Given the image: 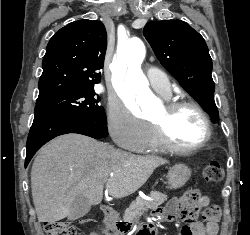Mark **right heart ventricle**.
Returning <instances> with one entry per match:
<instances>
[{"label":"right heart ventricle","mask_w":250,"mask_h":235,"mask_svg":"<svg viewBox=\"0 0 250 235\" xmlns=\"http://www.w3.org/2000/svg\"><path fill=\"white\" fill-rule=\"evenodd\" d=\"M161 150H164V148L159 143L153 127H150L149 138L140 151L148 153V152H157Z\"/></svg>","instance_id":"e07e8e85"}]
</instances>
